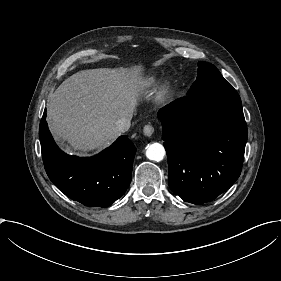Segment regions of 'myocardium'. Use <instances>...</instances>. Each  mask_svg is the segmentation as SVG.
Masks as SVG:
<instances>
[{"mask_svg":"<svg viewBox=\"0 0 281 281\" xmlns=\"http://www.w3.org/2000/svg\"><path fill=\"white\" fill-rule=\"evenodd\" d=\"M169 88H170L169 84H168V83H164V84L161 86V88H160V93H161V94L167 93L168 90H169Z\"/></svg>","mask_w":281,"mask_h":281,"instance_id":"myocardium-1","label":"myocardium"}]
</instances>
